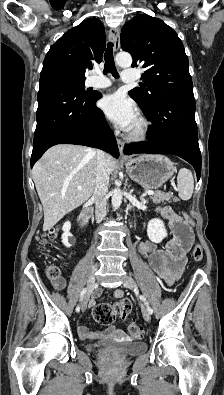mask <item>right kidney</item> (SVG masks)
Instances as JSON below:
<instances>
[{"label":"right kidney","mask_w":224,"mask_h":395,"mask_svg":"<svg viewBox=\"0 0 224 395\" xmlns=\"http://www.w3.org/2000/svg\"><path fill=\"white\" fill-rule=\"evenodd\" d=\"M71 229V223L69 221H66L63 225V234H62V243L66 247H71L75 243V238L74 236L70 233Z\"/></svg>","instance_id":"obj_1"}]
</instances>
